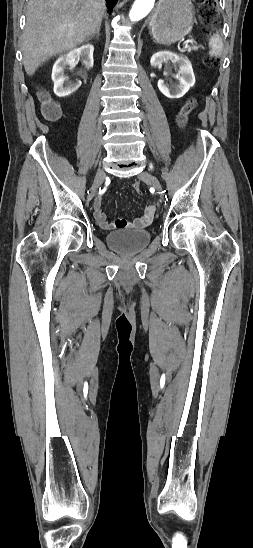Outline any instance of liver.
Wrapping results in <instances>:
<instances>
[{"label": "liver", "mask_w": 253, "mask_h": 548, "mask_svg": "<svg viewBox=\"0 0 253 548\" xmlns=\"http://www.w3.org/2000/svg\"><path fill=\"white\" fill-rule=\"evenodd\" d=\"M105 11V0H29L22 34L26 73L32 76L52 56L87 41Z\"/></svg>", "instance_id": "1"}]
</instances>
